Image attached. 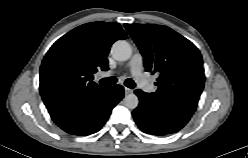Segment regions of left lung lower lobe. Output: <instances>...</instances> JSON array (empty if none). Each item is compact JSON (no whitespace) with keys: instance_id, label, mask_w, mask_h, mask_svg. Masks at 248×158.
<instances>
[{"instance_id":"obj_1","label":"left lung lower lobe","mask_w":248,"mask_h":158,"mask_svg":"<svg viewBox=\"0 0 248 158\" xmlns=\"http://www.w3.org/2000/svg\"><path fill=\"white\" fill-rule=\"evenodd\" d=\"M140 103L132 115L138 127L147 134L166 135L176 133L190 120L191 115L169 109L156 102L149 93L135 90Z\"/></svg>"}]
</instances>
